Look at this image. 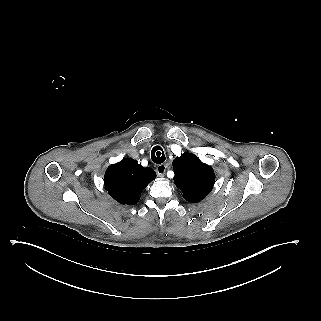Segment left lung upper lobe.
<instances>
[{"mask_svg": "<svg viewBox=\"0 0 321 321\" xmlns=\"http://www.w3.org/2000/svg\"><path fill=\"white\" fill-rule=\"evenodd\" d=\"M174 183L188 202H199L208 195L214 185L213 169L191 154L184 153L173 161Z\"/></svg>", "mask_w": 321, "mask_h": 321, "instance_id": "left-lung-upper-lobe-1", "label": "left lung upper lobe"}]
</instances>
